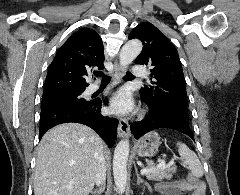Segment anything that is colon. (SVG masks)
Returning <instances> with one entry per match:
<instances>
[{
  "instance_id": "obj_1",
  "label": "colon",
  "mask_w": 240,
  "mask_h": 195,
  "mask_svg": "<svg viewBox=\"0 0 240 195\" xmlns=\"http://www.w3.org/2000/svg\"><path fill=\"white\" fill-rule=\"evenodd\" d=\"M186 182L190 183V185L193 186V188L202 187V180L200 179L198 180L197 178H195V175L191 174L189 170L186 172Z\"/></svg>"
}]
</instances>
